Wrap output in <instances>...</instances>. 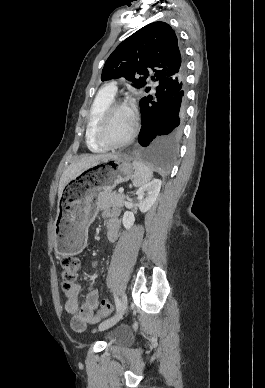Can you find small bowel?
I'll return each mask as SVG.
<instances>
[{"instance_id":"c3829d8e","label":"small bowel","mask_w":265,"mask_h":388,"mask_svg":"<svg viewBox=\"0 0 265 388\" xmlns=\"http://www.w3.org/2000/svg\"><path fill=\"white\" fill-rule=\"evenodd\" d=\"M104 217L107 219V239L110 242H115L119 235V214L117 210L105 211ZM82 290L80 283L65 292L64 308L71 315V326L77 332L85 330L87 324L95 323L98 316L95 315V310L99 306V295L95 289L88 291L84 302L80 304L79 296Z\"/></svg>"}]
</instances>
